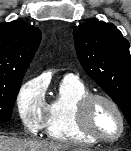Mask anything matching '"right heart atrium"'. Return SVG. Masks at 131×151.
<instances>
[{
  "label": "right heart atrium",
  "instance_id": "obj_1",
  "mask_svg": "<svg viewBox=\"0 0 131 151\" xmlns=\"http://www.w3.org/2000/svg\"><path fill=\"white\" fill-rule=\"evenodd\" d=\"M45 86L39 78L27 80L16 97L18 115L24 127L37 133L44 125L46 113Z\"/></svg>",
  "mask_w": 131,
  "mask_h": 151
}]
</instances>
